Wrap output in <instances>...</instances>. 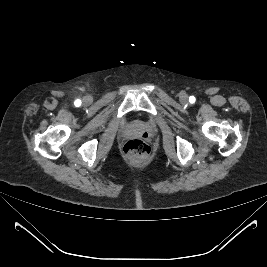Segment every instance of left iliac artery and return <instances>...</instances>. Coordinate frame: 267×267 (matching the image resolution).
Masks as SVG:
<instances>
[{"mask_svg":"<svg viewBox=\"0 0 267 267\" xmlns=\"http://www.w3.org/2000/svg\"><path fill=\"white\" fill-rule=\"evenodd\" d=\"M189 101H190L191 103H194V102H195V97L191 96V97L189 98Z\"/></svg>","mask_w":267,"mask_h":267,"instance_id":"obj_1","label":"left iliac artery"}]
</instances>
